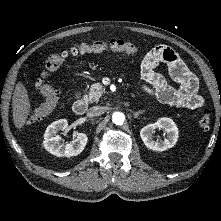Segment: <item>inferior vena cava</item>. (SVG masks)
Wrapping results in <instances>:
<instances>
[{
    "instance_id": "1",
    "label": "inferior vena cava",
    "mask_w": 221,
    "mask_h": 221,
    "mask_svg": "<svg viewBox=\"0 0 221 221\" xmlns=\"http://www.w3.org/2000/svg\"><path fill=\"white\" fill-rule=\"evenodd\" d=\"M101 113V108L99 106H93L91 108H89L88 112H87V116L88 117H94L97 116Z\"/></svg>"
}]
</instances>
